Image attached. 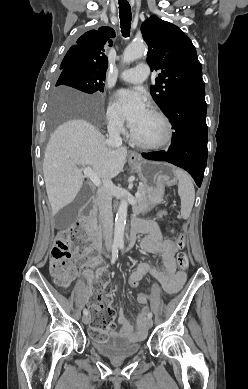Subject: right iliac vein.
I'll use <instances>...</instances> for the list:
<instances>
[{"instance_id":"63e3f726","label":"right iliac vein","mask_w":248,"mask_h":389,"mask_svg":"<svg viewBox=\"0 0 248 389\" xmlns=\"http://www.w3.org/2000/svg\"><path fill=\"white\" fill-rule=\"evenodd\" d=\"M89 321H90V318H89L87 315H84V316L82 317V322H83L84 324H88Z\"/></svg>"}]
</instances>
